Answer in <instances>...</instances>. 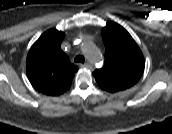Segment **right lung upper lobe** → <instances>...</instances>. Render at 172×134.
Here are the masks:
<instances>
[{"label":"right lung upper lobe","instance_id":"1","mask_svg":"<svg viewBox=\"0 0 172 134\" xmlns=\"http://www.w3.org/2000/svg\"><path fill=\"white\" fill-rule=\"evenodd\" d=\"M64 36V32L47 30L28 52L26 59L28 79L32 86L43 94L58 96L66 92L78 70L61 50Z\"/></svg>","mask_w":172,"mask_h":134}]
</instances>
